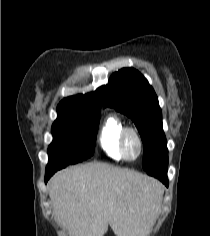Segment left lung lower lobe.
I'll list each match as a JSON object with an SVG mask.
<instances>
[{"label":"left lung lower lobe","mask_w":210,"mask_h":236,"mask_svg":"<svg viewBox=\"0 0 210 236\" xmlns=\"http://www.w3.org/2000/svg\"><path fill=\"white\" fill-rule=\"evenodd\" d=\"M167 169H168V157L158 162L150 169L146 170V173L150 176L158 178L166 186H168Z\"/></svg>","instance_id":"0a47b994"}]
</instances>
